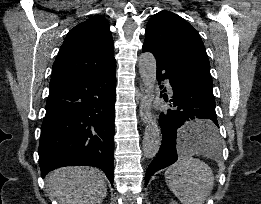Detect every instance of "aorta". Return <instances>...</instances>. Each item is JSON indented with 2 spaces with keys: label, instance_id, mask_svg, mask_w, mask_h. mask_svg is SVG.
<instances>
[{
  "label": "aorta",
  "instance_id": "aorta-1",
  "mask_svg": "<svg viewBox=\"0 0 261 204\" xmlns=\"http://www.w3.org/2000/svg\"><path fill=\"white\" fill-rule=\"evenodd\" d=\"M156 59L150 52H144L139 57V73L146 88L147 98L149 101L154 99V89L156 84ZM161 145V132L158 120L154 115H150L145 127L143 136V153L151 159L154 158Z\"/></svg>",
  "mask_w": 261,
  "mask_h": 204
}]
</instances>
